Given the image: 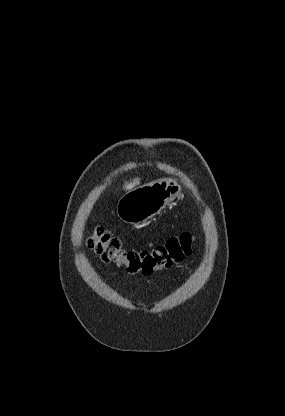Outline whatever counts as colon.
<instances>
[{"label": "colon", "instance_id": "obj_1", "mask_svg": "<svg viewBox=\"0 0 285 416\" xmlns=\"http://www.w3.org/2000/svg\"><path fill=\"white\" fill-rule=\"evenodd\" d=\"M193 241L191 234L183 233L150 250H126L119 238L98 226L88 237L87 245L102 261L123 266L129 274L151 275L183 261L191 254Z\"/></svg>", "mask_w": 285, "mask_h": 416}]
</instances>
